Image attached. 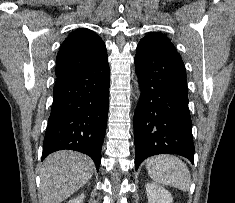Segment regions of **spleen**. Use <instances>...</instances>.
Listing matches in <instances>:
<instances>
[{
	"instance_id": "obj_1",
	"label": "spleen",
	"mask_w": 235,
	"mask_h": 203,
	"mask_svg": "<svg viewBox=\"0 0 235 203\" xmlns=\"http://www.w3.org/2000/svg\"><path fill=\"white\" fill-rule=\"evenodd\" d=\"M146 168L149 176L163 185L173 186L188 191L191 175L186 164L173 155H158L147 159Z\"/></svg>"
}]
</instances>
